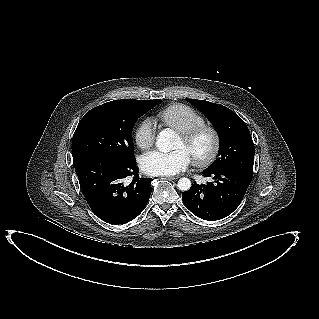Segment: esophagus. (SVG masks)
I'll use <instances>...</instances> for the list:
<instances>
[{"mask_svg": "<svg viewBox=\"0 0 319 319\" xmlns=\"http://www.w3.org/2000/svg\"><path fill=\"white\" fill-rule=\"evenodd\" d=\"M178 178H179V176H168L167 177L168 180H176Z\"/></svg>", "mask_w": 319, "mask_h": 319, "instance_id": "1", "label": "esophagus"}]
</instances>
